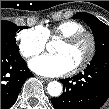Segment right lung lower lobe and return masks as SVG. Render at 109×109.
<instances>
[{
  "label": "right lung lower lobe",
  "instance_id": "98d812e1",
  "mask_svg": "<svg viewBox=\"0 0 109 109\" xmlns=\"http://www.w3.org/2000/svg\"><path fill=\"white\" fill-rule=\"evenodd\" d=\"M31 76L19 52L1 50V109L14 104L23 83Z\"/></svg>",
  "mask_w": 109,
  "mask_h": 109
}]
</instances>
